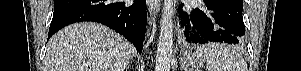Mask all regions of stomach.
Segmentation results:
<instances>
[{
	"instance_id": "stomach-1",
	"label": "stomach",
	"mask_w": 301,
	"mask_h": 71,
	"mask_svg": "<svg viewBox=\"0 0 301 71\" xmlns=\"http://www.w3.org/2000/svg\"><path fill=\"white\" fill-rule=\"evenodd\" d=\"M203 59L196 53H186L181 59V69L183 71H196L203 65Z\"/></svg>"
}]
</instances>
